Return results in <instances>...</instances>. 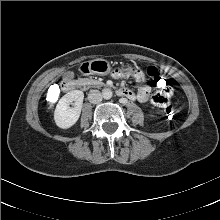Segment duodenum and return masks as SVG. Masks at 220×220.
<instances>
[{
	"label": "duodenum",
	"instance_id": "duodenum-1",
	"mask_svg": "<svg viewBox=\"0 0 220 220\" xmlns=\"http://www.w3.org/2000/svg\"><path fill=\"white\" fill-rule=\"evenodd\" d=\"M62 88L66 92L73 91L76 88V83L72 80L65 81L62 85ZM117 94L122 97H129V92L126 89H118Z\"/></svg>",
	"mask_w": 220,
	"mask_h": 220
}]
</instances>
